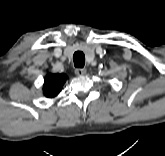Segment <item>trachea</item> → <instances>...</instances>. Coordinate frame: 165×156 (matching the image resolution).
Instances as JSON below:
<instances>
[{
    "label": "trachea",
    "instance_id": "3493384b",
    "mask_svg": "<svg viewBox=\"0 0 165 156\" xmlns=\"http://www.w3.org/2000/svg\"><path fill=\"white\" fill-rule=\"evenodd\" d=\"M74 66L82 68L85 65V55L81 51H77L73 55Z\"/></svg>",
    "mask_w": 165,
    "mask_h": 156
}]
</instances>
